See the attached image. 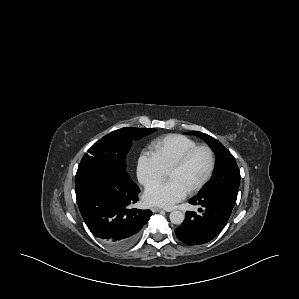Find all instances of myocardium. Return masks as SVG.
<instances>
[{
	"mask_svg": "<svg viewBox=\"0 0 299 299\" xmlns=\"http://www.w3.org/2000/svg\"><path fill=\"white\" fill-rule=\"evenodd\" d=\"M199 150H206L209 154V158H210V165H209V169L206 173V175L204 176V178L194 187H192L191 189H189L187 192L188 194H194L196 192H198L199 190H201L211 179L214 170H215V166H216V157H215V153L213 151V149L208 146V145H196L192 148H190L189 150H187L168 170V174L179 170L181 168H183L187 162L190 160V158Z\"/></svg>",
	"mask_w": 299,
	"mask_h": 299,
	"instance_id": "myocardium-1",
	"label": "myocardium"
}]
</instances>
